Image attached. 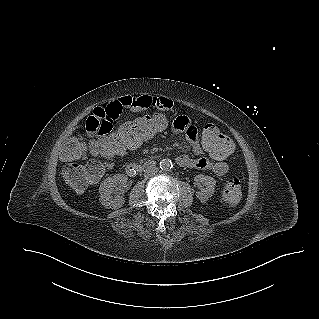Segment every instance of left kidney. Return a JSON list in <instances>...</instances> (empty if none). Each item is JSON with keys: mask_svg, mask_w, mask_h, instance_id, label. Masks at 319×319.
Segmentation results:
<instances>
[{"mask_svg": "<svg viewBox=\"0 0 319 319\" xmlns=\"http://www.w3.org/2000/svg\"><path fill=\"white\" fill-rule=\"evenodd\" d=\"M194 181L196 184L201 183L203 186H205V188H202L201 191L196 192V197L201 202H206L210 197L213 196L216 185V181L213 177L200 174L194 177Z\"/></svg>", "mask_w": 319, "mask_h": 319, "instance_id": "left-kidney-1", "label": "left kidney"}]
</instances>
